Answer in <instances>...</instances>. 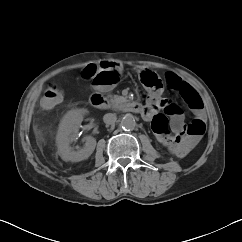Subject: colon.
Wrapping results in <instances>:
<instances>
[{
	"label": "colon",
	"instance_id": "5ec220e1",
	"mask_svg": "<svg viewBox=\"0 0 242 242\" xmlns=\"http://www.w3.org/2000/svg\"><path fill=\"white\" fill-rule=\"evenodd\" d=\"M81 76L85 80L93 81L95 86L105 87L116 83L120 78V73L113 69H107L101 65L91 63L82 70ZM141 82L152 93L159 92L162 87V83L155 73H144L141 77ZM167 83L170 88L179 92L190 108H201V98L191 85L180 83L179 80L172 76L167 78ZM63 98V92L56 86L50 85L45 90L41 103L45 108H52L61 103ZM195 126L197 134L204 133V128L200 123H195ZM152 128L157 135L165 136L168 132L167 119L162 114H156L153 117Z\"/></svg>",
	"mask_w": 242,
	"mask_h": 242
}]
</instances>
